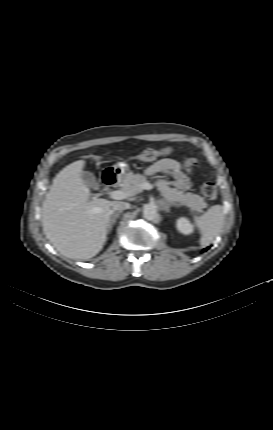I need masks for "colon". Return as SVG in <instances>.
<instances>
[{
  "label": "colon",
  "mask_w": 273,
  "mask_h": 430,
  "mask_svg": "<svg viewBox=\"0 0 273 430\" xmlns=\"http://www.w3.org/2000/svg\"><path fill=\"white\" fill-rule=\"evenodd\" d=\"M172 149L170 148H166L163 150H155V149H145L143 151H141L138 155H136L134 158L140 161H153L155 160L158 156L162 155V154H167V153H171ZM93 161H100L101 158L99 157H94L92 158ZM185 165L187 168H198L199 167V162L196 158H187L185 160ZM201 193L202 195L208 199V200H213L216 198L217 196V187L215 185V183L213 182H204L201 185Z\"/></svg>",
  "instance_id": "1"
}]
</instances>
